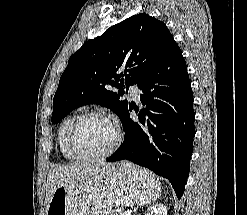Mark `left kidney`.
Listing matches in <instances>:
<instances>
[{
	"mask_svg": "<svg viewBox=\"0 0 247 215\" xmlns=\"http://www.w3.org/2000/svg\"><path fill=\"white\" fill-rule=\"evenodd\" d=\"M145 215H167V207L164 204H155L147 209Z\"/></svg>",
	"mask_w": 247,
	"mask_h": 215,
	"instance_id": "obj_1",
	"label": "left kidney"
}]
</instances>
